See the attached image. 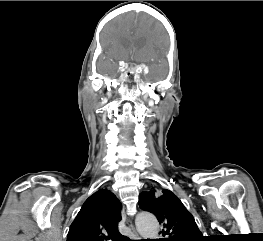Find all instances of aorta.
Masks as SVG:
<instances>
[{"mask_svg": "<svg viewBox=\"0 0 263 241\" xmlns=\"http://www.w3.org/2000/svg\"><path fill=\"white\" fill-rule=\"evenodd\" d=\"M136 227L139 234L144 238L156 237L159 230V224L156 217L145 211H142L137 215Z\"/></svg>", "mask_w": 263, "mask_h": 241, "instance_id": "obj_1", "label": "aorta"}]
</instances>
